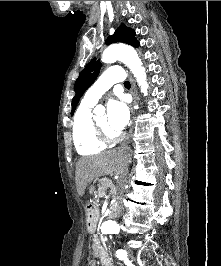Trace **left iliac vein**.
<instances>
[{
  "instance_id": "4c4485c4",
  "label": "left iliac vein",
  "mask_w": 221,
  "mask_h": 266,
  "mask_svg": "<svg viewBox=\"0 0 221 266\" xmlns=\"http://www.w3.org/2000/svg\"><path fill=\"white\" fill-rule=\"evenodd\" d=\"M127 257H128L129 259H132V258H133V252H132L131 249H127Z\"/></svg>"
}]
</instances>
